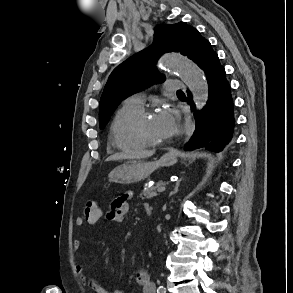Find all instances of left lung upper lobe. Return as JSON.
Segmentation results:
<instances>
[{
	"mask_svg": "<svg viewBox=\"0 0 293 293\" xmlns=\"http://www.w3.org/2000/svg\"><path fill=\"white\" fill-rule=\"evenodd\" d=\"M206 42L198 30L183 22L158 25L154 43L121 63L109 76L100 99V128L105 127L126 96L142 91L154 83L164 82L165 76L154 67L163 53L180 52L197 64Z\"/></svg>",
	"mask_w": 293,
	"mask_h": 293,
	"instance_id": "obj_1",
	"label": "left lung upper lobe"
}]
</instances>
